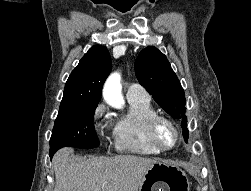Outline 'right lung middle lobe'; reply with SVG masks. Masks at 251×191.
I'll return each mask as SVG.
<instances>
[{
	"label": "right lung middle lobe",
	"mask_w": 251,
	"mask_h": 191,
	"mask_svg": "<svg viewBox=\"0 0 251 191\" xmlns=\"http://www.w3.org/2000/svg\"><path fill=\"white\" fill-rule=\"evenodd\" d=\"M98 104L59 110L50 139V157L65 146L95 148L99 139L93 125V117Z\"/></svg>",
	"instance_id": "dd1d6c3e"
}]
</instances>
